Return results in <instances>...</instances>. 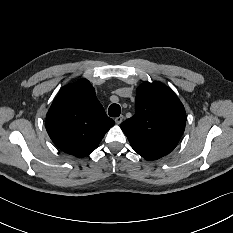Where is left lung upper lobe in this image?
<instances>
[{
	"instance_id": "left-lung-upper-lobe-1",
	"label": "left lung upper lobe",
	"mask_w": 233,
	"mask_h": 233,
	"mask_svg": "<svg viewBox=\"0 0 233 233\" xmlns=\"http://www.w3.org/2000/svg\"><path fill=\"white\" fill-rule=\"evenodd\" d=\"M186 125L183 104L166 85L144 82L136 90L135 115L121 124L132 148L147 160L169 154Z\"/></svg>"
}]
</instances>
